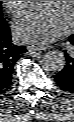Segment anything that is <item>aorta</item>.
Instances as JSON below:
<instances>
[{"label": "aorta", "instance_id": "762f6f07", "mask_svg": "<svg viewBox=\"0 0 74 122\" xmlns=\"http://www.w3.org/2000/svg\"><path fill=\"white\" fill-rule=\"evenodd\" d=\"M66 65L65 55L58 50L48 51L43 57V66L47 71L59 72Z\"/></svg>", "mask_w": 74, "mask_h": 122}]
</instances>
